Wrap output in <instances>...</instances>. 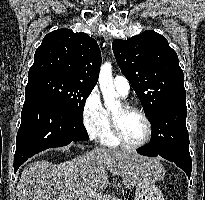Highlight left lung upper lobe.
I'll use <instances>...</instances> for the list:
<instances>
[{
    "mask_svg": "<svg viewBox=\"0 0 205 200\" xmlns=\"http://www.w3.org/2000/svg\"><path fill=\"white\" fill-rule=\"evenodd\" d=\"M112 48L150 122L166 104L186 100L178 56L164 36L145 31L127 40L113 41Z\"/></svg>",
    "mask_w": 205,
    "mask_h": 200,
    "instance_id": "1",
    "label": "left lung upper lobe"
}]
</instances>
